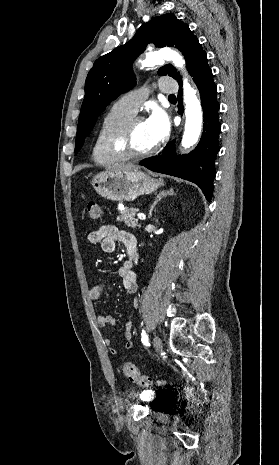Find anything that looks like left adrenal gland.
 Returning a JSON list of instances; mask_svg holds the SVG:
<instances>
[{
  "label": "left adrenal gland",
  "instance_id": "a2214340",
  "mask_svg": "<svg viewBox=\"0 0 279 465\" xmlns=\"http://www.w3.org/2000/svg\"><path fill=\"white\" fill-rule=\"evenodd\" d=\"M171 195H174V190L172 188L167 190V191L163 190V191L159 192V194L156 196L153 204L151 205V208H150V211H149V218L152 217V212H153L155 206L157 205V203L160 202L162 198H165V197L171 196Z\"/></svg>",
  "mask_w": 279,
  "mask_h": 465
}]
</instances>
